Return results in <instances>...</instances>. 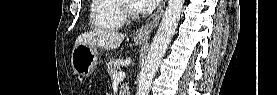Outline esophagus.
<instances>
[{
    "instance_id": "34e87169",
    "label": "esophagus",
    "mask_w": 277,
    "mask_h": 95,
    "mask_svg": "<svg viewBox=\"0 0 277 95\" xmlns=\"http://www.w3.org/2000/svg\"><path fill=\"white\" fill-rule=\"evenodd\" d=\"M165 5L166 0H164L161 6L157 9V11L148 18L146 23L134 32V38L147 39L150 36L151 32L157 27L163 15Z\"/></svg>"
}]
</instances>
